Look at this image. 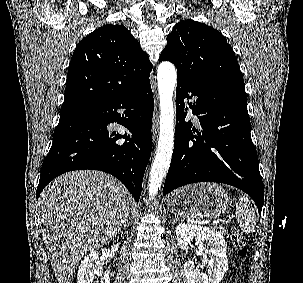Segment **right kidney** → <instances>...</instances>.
<instances>
[{"instance_id":"ca27d5eb","label":"right kidney","mask_w":303,"mask_h":283,"mask_svg":"<svg viewBox=\"0 0 303 283\" xmlns=\"http://www.w3.org/2000/svg\"><path fill=\"white\" fill-rule=\"evenodd\" d=\"M102 264L99 260L97 251H92L88 254L79 266L77 280L78 283H110L108 274H103ZM95 275H100V281H94Z\"/></svg>"}]
</instances>
